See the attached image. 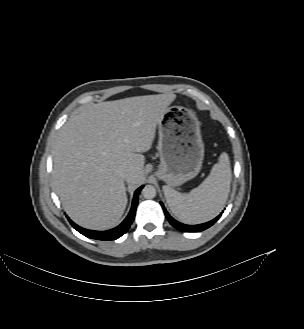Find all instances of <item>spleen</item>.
I'll return each mask as SVG.
<instances>
[{"label": "spleen", "instance_id": "3e777b00", "mask_svg": "<svg viewBox=\"0 0 304 329\" xmlns=\"http://www.w3.org/2000/svg\"><path fill=\"white\" fill-rule=\"evenodd\" d=\"M231 176L229 156L224 152L209 176L190 193L181 194L169 186L163 187L170 210L187 224H199L213 219L226 203Z\"/></svg>", "mask_w": 304, "mask_h": 329}]
</instances>
